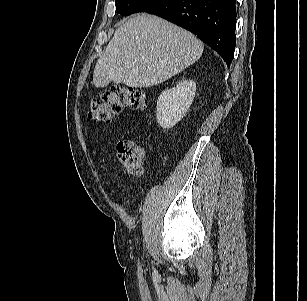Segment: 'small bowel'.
I'll return each mask as SVG.
<instances>
[{
    "label": "small bowel",
    "mask_w": 307,
    "mask_h": 301,
    "mask_svg": "<svg viewBox=\"0 0 307 301\" xmlns=\"http://www.w3.org/2000/svg\"><path fill=\"white\" fill-rule=\"evenodd\" d=\"M144 160H145V155L143 153V159H142V163L144 164Z\"/></svg>",
    "instance_id": "1"
}]
</instances>
